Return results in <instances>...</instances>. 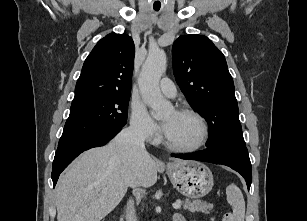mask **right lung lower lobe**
<instances>
[{
  "label": "right lung lower lobe",
  "mask_w": 307,
  "mask_h": 221,
  "mask_svg": "<svg viewBox=\"0 0 307 221\" xmlns=\"http://www.w3.org/2000/svg\"><path fill=\"white\" fill-rule=\"evenodd\" d=\"M121 128L111 131L85 136L74 141L58 145L52 164V181L54 186L57 183L60 173L83 151L93 147L105 145L110 141Z\"/></svg>",
  "instance_id": "98d812e1"
}]
</instances>
